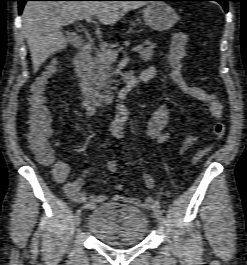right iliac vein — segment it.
<instances>
[{"label":"right iliac vein","mask_w":247,"mask_h":265,"mask_svg":"<svg viewBox=\"0 0 247 265\" xmlns=\"http://www.w3.org/2000/svg\"><path fill=\"white\" fill-rule=\"evenodd\" d=\"M75 225L78 226L81 223V211L78 210L74 217Z\"/></svg>","instance_id":"obj_1"}]
</instances>
